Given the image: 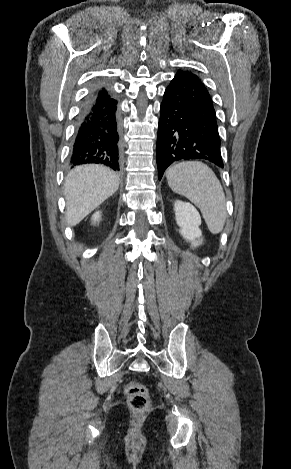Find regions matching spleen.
<instances>
[{
	"label": "spleen",
	"instance_id": "1",
	"mask_svg": "<svg viewBox=\"0 0 291 469\" xmlns=\"http://www.w3.org/2000/svg\"><path fill=\"white\" fill-rule=\"evenodd\" d=\"M170 188L194 203L212 234L223 230L227 211L223 188L206 164L188 161L171 166L166 172Z\"/></svg>",
	"mask_w": 291,
	"mask_h": 469
}]
</instances>
